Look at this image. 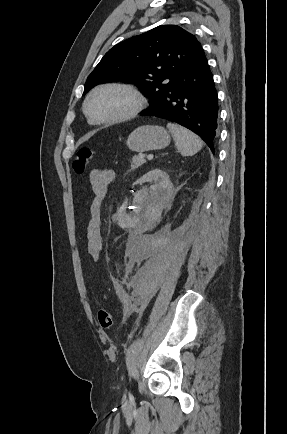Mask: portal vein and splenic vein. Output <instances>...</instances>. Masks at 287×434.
I'll use <instances>...</instances> for the list:
<instances>
[{"mask_svg": "<svg viewBox=\"0 0 287 434\" xmlns=\"http://www.w3.org/2000/svg\"><path fill=\"white\" fill-rule=\"evenodd\" d=\"M147 159H148V160H152V159H153V154H149V155L147 156Z\"/></svg>", "mask_w": 287, "mask_h": 434, "instance_id": "portal-vein-and-splenic-vein-1", "label": "portal vein and splenic vein"}]
</instances>
